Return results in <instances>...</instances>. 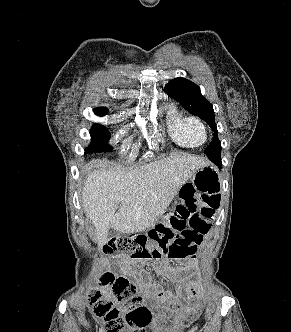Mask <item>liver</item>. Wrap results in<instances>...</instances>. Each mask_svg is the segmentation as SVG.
<instances>
[{
    "instance_id": "liver-1",
    "label": "liver",
    "mask_w": 291,
    "mask_h": 332,
    "mask_svg": "<svg viewBox=\"0 0 291 332\" xmlns=\"http://www.w3.org/2000/svg\"><path fill=\"white\" fill-rule=\"evenodd\" d=\"M209 164L197 155L175 153L130 170L111 166L90 172L82 206L95 227L99 247L107 243L110 227L124 234L150 227L193 174Z\"/></svg>"
}]
</instances>
